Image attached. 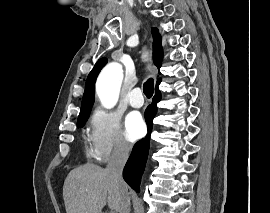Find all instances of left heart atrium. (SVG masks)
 <instances>
[{
	"mask_svg": "<svg viewBox=\"0 0 270 213\" xmlns=\"http://www.w3.org/2000/svg\"><path fill=\"white\" fill-rule=\"evenodd\" d=\"M145 124L138 113H130L125 120V137L128 141L133 142L143 136Z\"/></svg>",
	"mask_w": 270,
	"mask_h": 213,
	"instance_id": "1",
	"label": "left heart atrium"
}]
</instances>
